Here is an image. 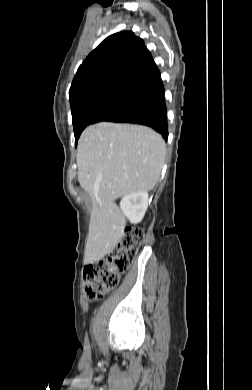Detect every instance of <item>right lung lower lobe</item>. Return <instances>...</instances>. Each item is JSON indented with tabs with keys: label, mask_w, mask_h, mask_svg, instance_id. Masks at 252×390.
Returning <instances> with one entry per match:
<instances>
[{
	"label": "right lung lower lobe",
	"mask_w": 252,
	"mask_h": 390,
	"mask_svg": "<svg viewBox=\"0 0 252 390\" xmlns=\"http://www.w3.org/2000/svg\"><path fill=\"white\" fill-rule=\"evenodd\" d=\"M166 113L164 86L161 83L134 100L127 108L115 113L105 121L146 125L159 132L167 140L168 125Z\"/></svg>",
	"instance_id": "1"
}]
</instances>
